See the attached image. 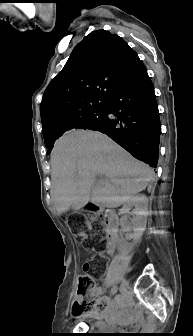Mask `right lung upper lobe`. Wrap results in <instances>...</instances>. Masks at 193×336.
<instances>
[{
    "instance_id": "1",
    "label": "right lung upper lobe",
    "mask_w": 193,
    "mask_h": 336,
    "mask_svg": "<svg viewBox=\"0 0 193 336\" xmlns=\"http://www.w3.org/2000/svg\"><path fill=\"white\" fill-rule=\"evenodd\" d=\"M141 62L118 35H87L46 88L40 105L45 140L68 134L82 116L105 108L120 83Z\"/></svg>"
}]
</instances>
